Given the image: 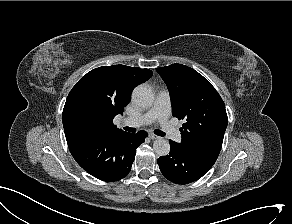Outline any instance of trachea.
I'll use <instances>...</instances> for the list:
<instances>
[{
  "instance_id": "obj_1",
  "label": "trachea",
  "mask_w": 292,
  "mask_h": 224,
  "mask_svg": "<svg viewBox=\"0 0 292 224\" xmlns=\"http://www.w3.org/2000/svg\"><path fill=\"white\" fill-rule=\"evenodd\" d=\"M125 131H128V132H136V129L135 128H131V127H124L123 128ZM154 133L158 136H165V132L161 131V130H154Z\"/></svg>"
}]
</instances>
